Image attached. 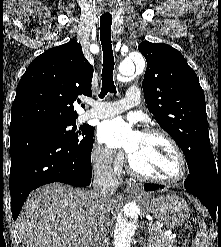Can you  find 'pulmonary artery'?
<instances>
[{
  "label": "pulmonary artery",
  "instance_id": "pulmonary-artery-1",
  "mask_svg": "<svg viewBox=\"0 0 221 247\" xmlns=\"http://www.w3.org/2000/svg\"><path fill=\"white\" fill-rule=\"evenodd\" d=\"M140 99L141 94L139 88L130 87L123 99L100 103L90 110H87L83 115V119H102L112 117L133 106L138 105L140 103Z\"/></svg>",
  "mask_w": 221,
  "mask_h": 247
}]
</instances>
